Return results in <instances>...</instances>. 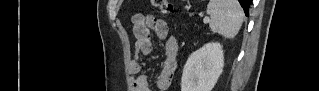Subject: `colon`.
<instances>
[{"instance_id": "obj_1", "label": "colon", "mask_w": 319, "mask_h": 91, "mask_svg": "<svg viewBox=\"0 0 319 91\" xmlns=\"http://www.w3.org/2000/svg\"><path fill=\"white\" fill-rule=\"evenodd\" d=\"M152 3L164 15H170L173 12V5L167 0H152Z\"/></svg>"}]
</instances>
